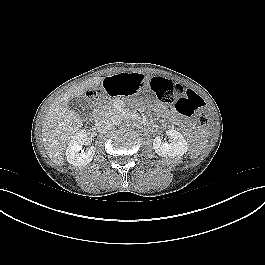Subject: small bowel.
I'll return each mask as SVG.
<instances>
[{
	"instance_id": "c3829d8e",
	"label": "small bowel",
	"mask_w": 265,
	"mask_h": 265,
	"mask_svg": "<svg viewBox=\"0 0 265 265\" xmlns=\"http://www.w3.org/2000/svg\"><path fill=\"white\" fill-rule=\"evenodd\" d=\"M146 80L142 74H120L105 79L103 86L110 95L133 96L136 90L145 86ZM194 92V91H193ZM160 112L167 118H175L176 112L171 108L160 107Z\"/></svg>"
}]
</instances>
